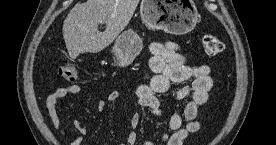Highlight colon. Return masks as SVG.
<instances>
[{"label": "colon", "instance_id": "colon-1", "mask_svg": "<svg viewBox=\"0 0 276 145\" xmlns=\"http://www.w3.org/2000/svg\"><path fill=\"white\" fill-rule=\"evenodd\" d=\"M202 46L206 54L217 55L220 54L224 45L215 35L204 34L201 38ZM59 74L68 81H76L79 77L78 70L71 64L61 65L59 68Z\"/></svg>", "mask_w": 276, "mask_h": 145}]
</instances>
